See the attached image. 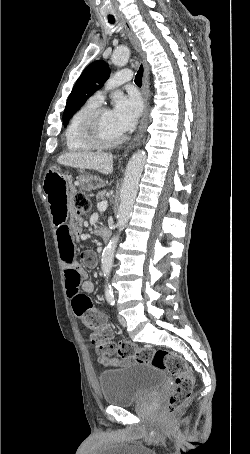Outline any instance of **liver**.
I'll list each match as a JSON object with an SVG mask.
<instances>
[{"label":"liver","instance_id":"obj_1","mask_svg":"<svg viewBox=\"0 0 250 454\" xmlns=\"http://www.w3.org/2000/svg\"><path fill=\"white\" fill-rule=\"evenodd\" d=\"M57 163L79 169L97 170L103 174L113 171V156L102 152H69L60 155Z\"/></svg>","mask_w":250,"mask_h":454}]
</instances>
